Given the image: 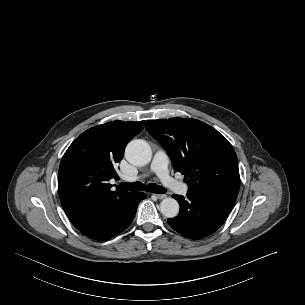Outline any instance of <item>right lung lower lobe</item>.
<instances>
[{"label":"right lung lower lobe","instance_id":"1","mask_svg":"<svg viewBox=\"0 0 305 305\" xmlns=\"http://www.w3.org/2000/svg\"><path fill=\"white\" fill-rule=\"evenodd\" d=\"M145 197L142 192L131 193L106 207L92 209L81 216L70 218V221L87 237L108 240L131 224L138 204Z\"/></svg>","mask_w":305,"mask_h":305}]
</instances>
